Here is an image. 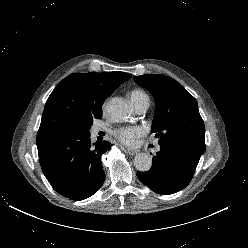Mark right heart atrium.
Masks as SVG:
<instances>
[{
	"label": "right heart atrium",
	"instance_id": "1",
	"mask_svg": "<svg viewBox=\"0 0 248 248\" xmlns=\"http://www.w3.org/2000/svg\"><path fill=\"white\" fill-rule=\"evenodd\" d=\"M106 107H107V102H104V104H103V109L105 110Z\"/></svg>",
	"mask_w": 248,
	"mask_h": 248
}]
</instances>
